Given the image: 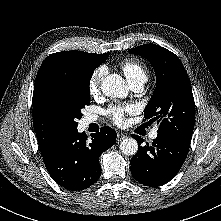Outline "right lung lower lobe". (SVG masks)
<instances>
[{
    "mask_svg": "<svg viewBox=\"0 0 221 221\" xmlns=\"http://www.w3.org/2000/svg\"><path fill=\"white\" fill-rule=\"evenodd\" d=\"M91 136V141H87L85 132L73 130L42 155L50 176L58 185L77 191L99 179L101 167L98 159L116 142V132L105 126Z\"/></svg>",
    "mask_w": 221,
    "mask_h": 221,
    "instance_id": "98d812e1",
    "label": "right lung lower lobe"
}]
</instances>
